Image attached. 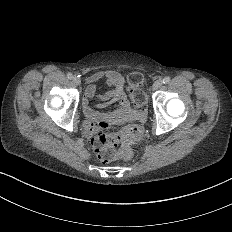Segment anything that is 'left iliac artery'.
I'll return each mask as SVG.
<instances>
[{"label":"left iliac artery","instance_id":"1","mask_svg":"<svg viewBox=\"0 0 232 232\" xmlns=\"http://www.w3.org/2000/svg\"><path fill=\"white\" fill-rule=\"evenodd\" d=\"M170 77L169 76H166V77H164V79H163V83L164 84H168L169 82H170Z\"/></svg>","mask_w":232,"mask_h":232}]
</instances>
